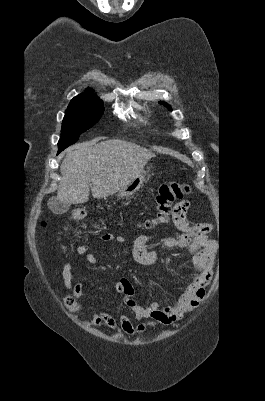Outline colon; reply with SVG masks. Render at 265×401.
<instances>
[{
	"mask_svg": "<svg viewBox=\"0 0 265 401\" xmlns=\"http://www.w3.org/2000/svg\"><path fill=\"white\" fill-rule=\"evenodd\" d=\"M190 192V188L185 183H168L159 187L156 195L157 213L152 220L145 223L147 227H153L159 224L167 223L171 213V206L175 200L182 199ZM86 216V211L83 208L72 210L69 220L79 221ZM65 303L69 309L75 311L78 309L77 303L72 298H67Z\"/></svg>",
	"mask_w": 265,
	"mask_h": 401,
	"instance_id": "1",
	"label": "colon"
}]
</instances>
